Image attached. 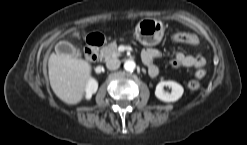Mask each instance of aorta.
I'll list each match as a JSON object with an SVG mask.
<instances>
[{"instance_id":"aorta-1","label":"aorta","mask_w":247,"mask_h":145,"mask_svg":"<svg viewBox=\"0 0 247 145\" xmlns=\"http://www.w3.org/2000/svg\"><path fill=\"white\" fill-rule=\"evenodd\" d=\"M136 67V64L134 61H131V60H127L125 63H124V69L126 71H129V72H132Z\"/></svg>"}]
</instances>
